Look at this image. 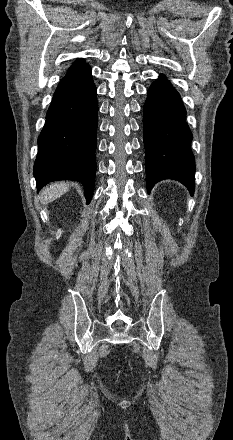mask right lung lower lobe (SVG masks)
<instances>
[{
    "label": "right lung lower lobe",
    "mask_w": 233,
    "mask_h": 440,
    "mask_svg": "<svg viewBox=\"0 0 233 440\" xmlns=\"http://www.w3.org/2000/svg\"><path fill=\"white\" fill-rule=\"evenodd\" d=\"M96 95L90 66L60 81L38 138L33 171L38 189L55 180L80 181L90 202L96 173Z\"/></svg>",
    "instance_id": "1"
}]
</instances>
